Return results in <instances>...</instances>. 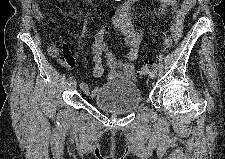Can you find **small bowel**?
<instances>
[{
  "instance_id": "obj_1",
  "label": "small bowel",
  "mask_w": 225,
  "mask_h": 159,
  "mask_svg": "<svg viewBox=\"0 0 225 159\" xmlns=\"http://www.w3.org/2000/svg\"><path fill=\"white\" fill-rule=\"evenodd\" d=\"M137 0H129L121 4L113 18L114 29L124 38L126 46L129 48L126 58L127 60L117 59L108 50L105 43V37L108 33V28H101L95 35V40L89 45L93 55V70L94 77L99 78L104 74V63L109 69L107 74L108 80H130L134 81L137 78V67L135 62L140 56V46L142 42L141 31L134 25L132 20V6ZM193 7V1L186 0L180 8H177L174 0H163L161 3L160 13L166 15L168 10H171L173 15L172 35L175 40H178L182 34L183 22L187 13ZM32 11L38 23H43L45 20L41 5L34 1L31 4ZM47 51L52 58L58 59L67 68H75L76 60L68 48L67 44L62 46L63 59H59V48L55 44H48ZM82 91L94 96L95 90H90L86 84L81 85Z\"/></svg>"
}]
</instances>
